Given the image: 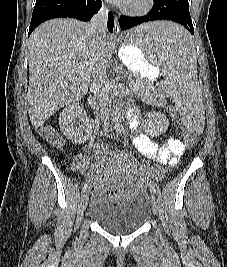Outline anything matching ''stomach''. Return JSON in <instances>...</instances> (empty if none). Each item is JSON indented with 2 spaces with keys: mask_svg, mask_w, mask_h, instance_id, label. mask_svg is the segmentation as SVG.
I'll list each match as a JSON object with an SVG mask.
<instances>
[{
  "mask_svg": "<svg viewBox=\"0 0 227 267\" xmlns=\"http://www.w3.org/2000/svg\"><path fill=\"white\" fill-rule=\"evenodd\" d=\"M121 59L128 69L148 81L157 75L158 66L160 65V63H152V59H145L140 47H128V43L123 45Z\"/></svg>",
  "mask_w": 227,
  "mask_h": 267,
  "instance_id": "stomach-1",
  "label": "stomach"
}]
</instances>
